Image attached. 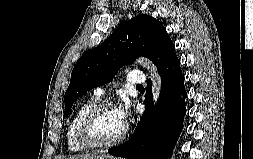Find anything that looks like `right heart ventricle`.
<instances>
[{"label":"right heart ventricle","instance_id":"1","mask_svg":"<svg viewBox=\"0 0 253 159\" xmlns=\"http://www.w3.org/2000/svg\"><path fill=\"white\" fill-rule=\"evenodd\" d=\"M99 102L100 97L96 95L91 96L77 107L70 118L66 130L67 146L70 151L77 152L85 149V147L78 140V128L84 115Z\"/></svg>","mask_w":253,"mask_h":159}]
</instances>
